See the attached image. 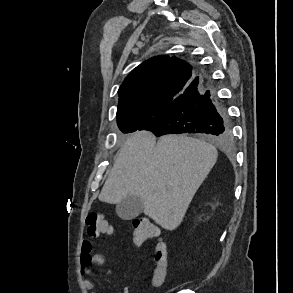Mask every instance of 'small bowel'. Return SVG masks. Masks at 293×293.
Here are the masks:
<instances>
[{
	"label": "small bowel",
	"instance_id": "small-bowel-1",
	"mask_svg": "<svg viewBox=\"0 0 293 293\" xmlns=\"http://www.w3.org/2000/svg\"><path fill=\"white\" fill-rule=\"evenodd\" d=\"M111 232L112 228L109 233L105 234L109 235L111 234ZM79 263L81 272L84 275H88L90 274L93 266H103L105 264V257L100 253H92V243L89 240L84 239L81 243V254ZM83 285L89 293H96V288L89 279H85L83 281ZM122 293H129V289L127 287H124Z\"/></svg>",
	"mask_w": 293,
	"mask_h": 293
}]
</instances>
